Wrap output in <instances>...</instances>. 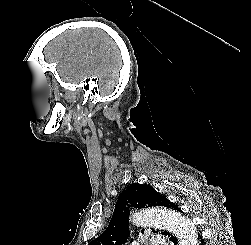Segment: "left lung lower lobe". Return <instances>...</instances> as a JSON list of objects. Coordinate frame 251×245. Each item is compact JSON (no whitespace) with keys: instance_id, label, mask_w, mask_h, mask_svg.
Instances as JSON below:
<instances>
[{"instance_id":"obj_1","label":"left lung lower lobe","mask_w":251,"mask_h":245,"mask_svg":"<svg viewBox=\"0 0 251 245\" xmlns=\"http://www.w3.org/2000/svg\"><path fill=\"white\" fill-rule=\"evenodd\" d=\"M178 211L181 212V209L179 208ZM166 236L169 238V240L174 244L176 245L177 244V239L174 235H172L171 233H167ZM198 242H199V245H204L203 243V238L201 237V235L198 233Z\"/></svg>"}]
</instances>
